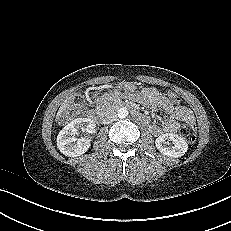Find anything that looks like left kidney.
Masks as SVG:
<instances>
[{
  "label": "left kidney",
  "instance_id": "left-kidney-1",
  "mask_svg": "<svg viewBox=\"0 0 231 231\" xmlns=\"http://www.w3.org/2000/svg\"><path fill=\"white\" fill-rule=\"evenodd\" d=\"M156 148L165 156L178 158L185 154L188 145L185 139L177 134L165 133L155 140Z\"/></svg>",
  "mask_w": 231,
  "mask_h": 231
}]
</instances>
